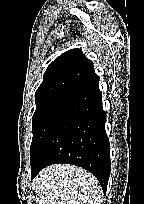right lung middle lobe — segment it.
Wrapping results in <instances>:
<instances>
[{"mask_svg":"<svg viewBox=\"0 0 144 204\" xmlns=\"http://www.w3.org/2000/svg\"><path fill=\"white\" fill-rule=\"evenodd\" d=\"M75 97L57 96L36 104L33 115V138L30 146V163L33 164L46 140L52 133L57 121L73 102Z\"/></svg>","mask_w":144,"mask_h":204,"instance_id":"1","label":"right lung middle lobe"}]
</instances>
